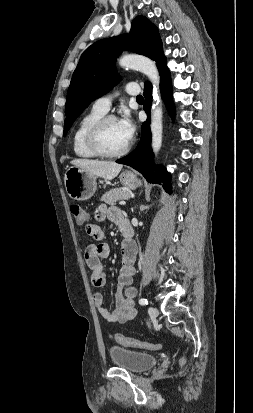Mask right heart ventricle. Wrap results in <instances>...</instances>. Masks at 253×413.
<instances>
[{
    "label": "right heart ventricle",
    "mask_w": 253,
    "mask_h": 413,
    "mask_svg": "<svg viewBox=\"0 0 253 413\" xmlns=\"http://www.w3.org/2000/svg\"><path fill=\"white\" fill-rule=\"evenodd\" d=\"M105 113L92 108L89 112L84 114L77 122L73 135H72V147L76 156L80 158H94L97 155L94 154L86 144V132L89 126L98 118L102 117Z\"/></svg>",
    "instance_id": "right-heart-ventricle-1"
}]
</instances>
